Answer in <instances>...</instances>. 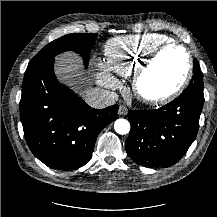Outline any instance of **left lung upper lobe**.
Returning <instances> with one entry per match:
<instances>
[{
    "instance_id": "5c2ea615",
    "label": "left lung upper lobe",
    "mask_w": 217,
    "mask_h": 217,
    "mask_svg": "<svg viewBox=\"0 0 217 217\" xmlns=\"http://www.w3.org/2000/svg\"><path fill=\"white\" fill-rule=\"evenodd\" d=\"M193 72L194 76L192 77L189 86L196 87L197 89L203 91V74L200 71L197 59L193 60Z\"/></svg>"
}]
</instances>
